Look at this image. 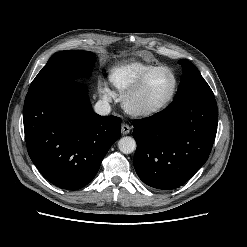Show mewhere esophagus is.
Here are the masks:
<instances>
[{
	"mask_svg": "<svg viewBox=\"0 0 247 247\" xmlns=\"http://www.w3.org/2000/svg\"><path fill=\"white\" fill-rule=\"evenodd\" d=\"M131 131V127L127 124H122V127H121V132L123 135H126V134H129Z\"/></svg>",
	"mask_w": 247,
	"mask_h": 247,
	"instance_id": "esophagus-1",
	"label": "esophagus"
}]
</instances>
